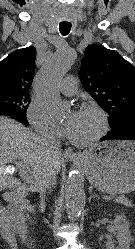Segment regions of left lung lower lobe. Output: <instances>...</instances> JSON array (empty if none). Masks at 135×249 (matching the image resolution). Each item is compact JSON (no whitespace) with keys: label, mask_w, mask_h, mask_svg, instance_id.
<instances>
[{"label":"left lung lower lobe","mask_w":135,"mask_h":249,"mask_svg":"<svg viewBox=\"0 0 135 249\" xmlns=\"http://www.w3.org/2000/svg\"><path fill=\"white\" fill-rule=\"evenodd\" d=\"M115 139L135 140V114L130 115L123 126L111 129L101 141Z\"/></svg>","instance_id":"1"}]
</instances>
